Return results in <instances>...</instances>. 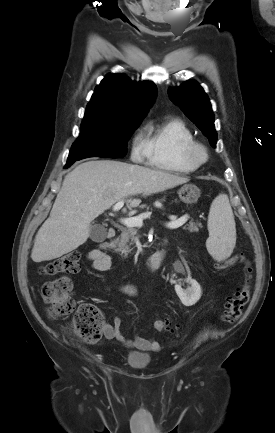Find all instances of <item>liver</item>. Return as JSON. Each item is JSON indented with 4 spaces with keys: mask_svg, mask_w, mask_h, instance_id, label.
I'll list each match as a JSON object with an SVG mask.
<instances>
[{
    "mask_svg": "<svg viewBox=\"0 0 275 433\" xmlns=\"http://www.w3.org/2000/svg\"><path fill=\"white\" fill-rule=\"evenodd\" d=\"M189 178L112 160L88 161L68 173L49 218L38 230L31 258L50 261L84 244L90 223L128 196H148L187 183ZM137 207L140 199H130Z\"/></svg>",
    "mask_w": 275,
    "mask_h": 433,
    "instance_id": "1",
    "label": "liver"
}]
</instances>
